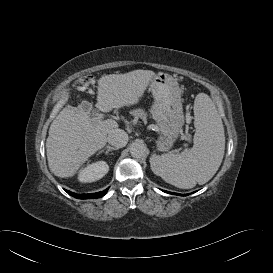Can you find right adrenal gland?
<instances>
[{
	"label": "right adrenal gland",
	"instance_id": "1",
	"mask_svg": "<svg viewBox=\"0 0 273 273\" xmlns=\"http://www.w3.org/2000/svg\"><path fill=\"white\" fill-rule=\"evenodd\" d=\"M104 150H106V154H108L110 151L112 150H117V148L111 147V146H106L103 150L99 151L97 155L101 154L102 152H104Z\"/></svg>",
	"mask_w": 273,
	"mask_h": 273
}]
</instances>
